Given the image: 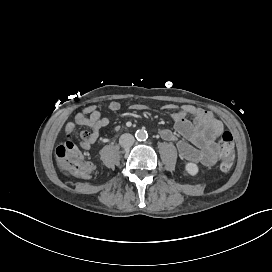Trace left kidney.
<instances>
[{
  "label": "left kidney",
  "instance_id": "5707ae66",
  "mask_svg": "<svg viewBox=\"0 0 272 272\" xmlns=\"http://www.w3.org/2000/svg\"><path fill=\"white\" fill-rule=\"evenodd\" d=\"M185 169L192 176L198 173V166L195 163H187Z\"/></svg>",
  "mask_w": 272,
  "mask_h": 272
}]
</instances>
